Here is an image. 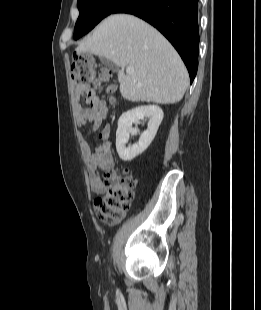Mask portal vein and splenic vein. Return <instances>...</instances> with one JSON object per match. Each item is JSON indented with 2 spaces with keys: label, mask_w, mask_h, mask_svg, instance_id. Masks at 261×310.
I'll return each instance as SVG.
<instances>
[{
  "label": "portal vein and splenic vein",
  "mask_w": 261,
  "mask_h": 310,
  "mask_svg": "<svg viewBox=\"0 0 261 310\" xmlns=\"http://www.w3.org/2000/svg\"><path fill=\"white\" fill-rule=\"evenodd\" d=\"M126 72H127V73H133V72H134V69H133L132 67L128 66V67L126 68Z\"/></svg>",
  "instance_id": "18ae733b"
}]
</instances>
